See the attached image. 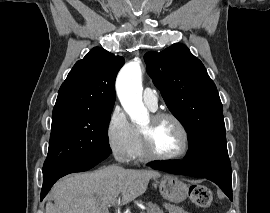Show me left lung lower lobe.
<instances>
[{
    "label": "left lung lower lobe",
    "mask_w": 270,
    "mask_h": 213,
    "mask_svg": "<svg viewBox=\"0 0 270 213\" xmlns=\"http://www.w3.org/2000/svg\"><path fill=\"white\" fill-rule=\"evenodd\" d=\"M154 169L162 170L172 174H182L193 177H205L206 179L216 183L223 192L230 198L232 201V178L231 175H209L203 176L200 166L196 163V160L193 158V154L189 149L188 154L182 161H177L168 164H158L152 166Z\"/></svg>",
    "instance_id": "left-lung-lower-lobe-1"
}]
</instances>
